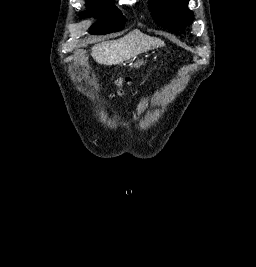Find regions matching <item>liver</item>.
<instances>
[{"mask_svg":"<svg viewBox=\"0 0 256 267\" xmlns=\"http://www.w3.org/2000/svg\"><path fill=\"white\" fill-rule=\"evenodd\" d=\"M160 46H165V44L159 38H151V36L142 34L140 30H133L127 36L119 38V40L95 44L91 48V56L97 64L116 66V64L127 62L130 58H136L143 52L160 48Z\"/></svg>","mask_w":256,"mask_h":267,"instance_id":"6515ba94","label":"liver"}]
</instances>
